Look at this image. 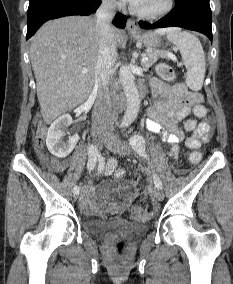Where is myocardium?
I'll use <instances>...</instances> for the list:
<instances>
[{
	"label": "myocardium",
	"mask_w": 233,
	"mask_h": 284,
	"mask_svg": "<svg viewBox=\"0 0 233 284\" xmlns=\"http://www.w3.org/2000/svg\"><path fill=\"white\" fill-rule=\"evenodd\" d=\"M174 7V0H166L165 4L158 10L155 11H143L137 7L132 8V12L138 17L146 20L159 19L168 14Z\"/></svg>",
	"instance_id": "1"
}]
</instances>
